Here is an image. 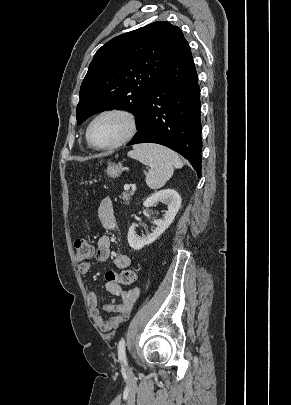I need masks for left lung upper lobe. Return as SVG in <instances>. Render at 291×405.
<instances>
[{
    "mask_svg": "<svg viewBox=\"0 0 291 405\" xmlns=\"http://www.w3.org/2000/svg\"><path fill=\"white\" fill-rule=\"evenodd\" d=\"M185 43L180 28L157 21L104 44L80 87L78 125L97 112L117 108L130 110L138 127L151 87Z\"/></svg>",
    "mask_w": 291,
    "mask_h": 405,
    "instance_id": "left-lung-upper-lobe-1",
    "label": "left lung upper lobe"
}]
</instances>
